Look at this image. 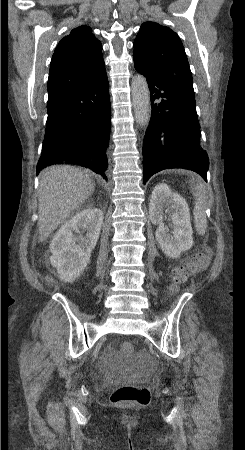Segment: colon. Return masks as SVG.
Returning a JSON list of instances; mask_svg holds the SVG:
<instances>
[{
	"mask_svg": "<svg viewBox=\"0 0 245 450\" xmlns=\"http://www.w3.org/2000/svg\"><path fill=\"white\" fill-rule=\"evenodd\" d=\"M210 253V248L203 247L190 261L175 267L171 273V290L177 292L190 276L204 270L208 266ZM119 349L126 356L133 353V346L129 342H122ZM150 396L149 389L144 385H121L113 391L111 402L144 405L150 401Z\"/></svg>",
	"mask_w": 245,
	"mask_h": 450,
	"instance_id": "1",
	"label": "colon"
}]
</instances>
